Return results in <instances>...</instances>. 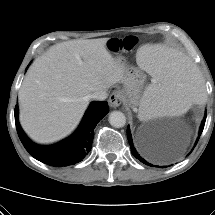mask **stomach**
Masks as SVG:
<instances>
[{
    "instance_id": "0dacf381",
    "label": "stomach",
    "mask_w": 215,
    "mask_h": 215,
    "mask_svg": "<svg viewBox=\"0 0 215 215\" xmlns=\"http://www.w3.org/2000/svg\"><path fill=\"white\" fill-rule=\"evenodd\" d=\"M116 59L119 60L125 68L122 79V93L129 105L134 107L138 103L139 92L143 84V73L140 70L125 64V61L122 57H117Z\"/></svg>"
}]
</instances>
